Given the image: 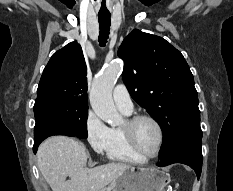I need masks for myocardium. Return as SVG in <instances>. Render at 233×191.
Listing matches in <instances>:
<instances>
[{"label": "myocardium", "instance_id": "1", "mask_svg": "<svg viewBox=\"0 0 233 191\" xmlns=\"http://www.w3.org/2000/svg\"><path fill=\"white\" fill-rule=\"evenodd\" d=\"M142 120H148L152 122L158 131V136H159L158 146H157L156 152L153 155L144 154L140 150L137 144V141H136L135 128L137 124ZM122 131L124 133V136L130 148L144 160L154 159L160 154L162 146H163V142H164V132H163V128L161 124L159 123V121L153 116L148 115V114H138V115L132 116L126 120L125 124L122 127Z\"/></svg>", "mask_w": 233, "mask_h": 191}]
</instances>
